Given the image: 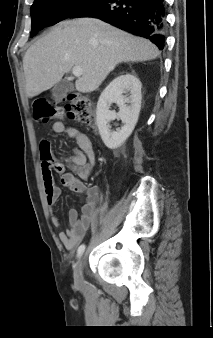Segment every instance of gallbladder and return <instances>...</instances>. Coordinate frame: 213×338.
<instances>
[{
    "label": "gallbladder",
    "mask_w": 213,
    "mask_h": 338,
    "mask_svg": "<svg viewBox=\"0 0 213 338\" xmlns=\"http://www.w3.org/2000/svg\"><path fill=\"white\" fill-rule=\"evenodd\" d=\"M74 90V86L68 80H61L52 88V96L56 101L63 99L67 93Z\"/></svg>",
    "instance_id": "bac80fb5"
}]
</instances>
